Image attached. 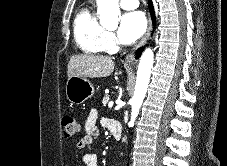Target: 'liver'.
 Returning a JSON list of instances; mask_svg holds the SVG:
<instances>
[{
  "mask_svg": "<svg viewBox=\"0 0 227 166\" xmlns=\"http://www.w3.org/2000/svg\"><path fill=\"white\" fill-rule=\"evenodd\" d=\"M114 61L110 56L103 55H74L68 62V77L77 75L83 78H100L111 75Z\"/></svg>",
  "mask_w": 227,
  "mask_h": 166,
  "instance_id": "1",
  "label": "liver"
}]
</instances>
